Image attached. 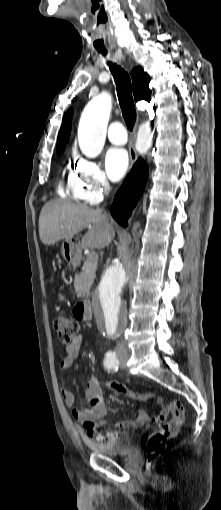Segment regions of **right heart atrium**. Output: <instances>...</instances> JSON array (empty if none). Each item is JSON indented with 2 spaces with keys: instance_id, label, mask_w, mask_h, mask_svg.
Listing matches in <instances>:
<instances>
[{
  "instance_id": "1",
  "label": "right heart atrium",
  "mask_w": 221,
  "mask_h": 510,
  "mask_svg": "<svg viewBox=\"0 0 221 510\" xmlns=\"http://www.w3.org/2000/svg\"><path fill=\"white\" fill-rule=\"evenodd\" d=\"M71 181L76 198L88 204H97L110 190L108 178L101 165L91 159H77Z\"/></svg>"
}]
</instances>
